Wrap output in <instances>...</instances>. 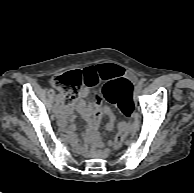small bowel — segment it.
<instances>
[{
    "label": "small bowel",
    "mask_w": 194,
    "mask_h": 193,
    "mask_svg": "<svg viewBox=\"0 0 194 193\" xmlns=\"http://www.w3.org/2000/svg\"><path fill=\"white\" fill-rule=\"evenodd\" d=\"M117 76H120V69L114 65L90 68L85 73V87L81 96L76 101L64 105L61 112V126L67 131L73 130L74 126L70 122L73 121L74 111H77L86 120L89 131H93L98 127L104 116L109 117L110 122L107 125V130H111L115 117L108 106H99L97 104L99 99L97 88L105 83L112 82ZM104 154H106V150L102 151V155Z\"/></svg>",
    "instance_id": "small-bowel-1"
}]
</instances>
